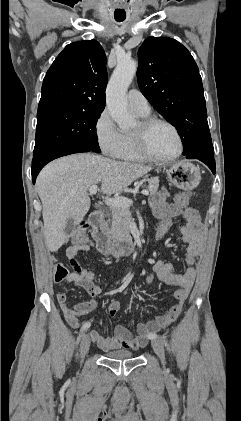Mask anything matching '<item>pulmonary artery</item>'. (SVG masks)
I'll use <instances>...</instances> for the list:
<instances>
[{
	"instance_id": "obj_1",
	"label": "pulmonary artery",
	"mask_w": 241,
	"mask_h": 421,
	"mask_svg": "<svg viewBox=\"0 0 241 421\" xmlns=\"http://www.w3.org/2000/svg\"><path fill=\"white\" fill-rule=\"evenodd\" d=\"M128 104L132 110L141 114H148L150 107L145 96L138 90L132 89L127 95Z\"/></svg>"
}]
</instances>
